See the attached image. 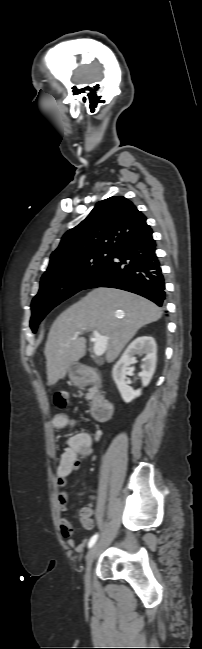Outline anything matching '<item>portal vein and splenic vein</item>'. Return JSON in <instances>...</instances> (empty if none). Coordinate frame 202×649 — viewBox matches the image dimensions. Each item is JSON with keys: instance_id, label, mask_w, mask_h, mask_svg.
Here are the masks:
<instances>
[{"instance_id": "18ae733b", "label": "portal vein and splenic vein", "mask_w": 202, "mask_h": 649, "mask_svg": "<svg viewBox=\"0 0 202 649\" xmlns=\"http://www.w3.org/2000/svg\"><path fill=\"white\" fill-rule=\"evenodd\" d=\"M92 331L94 334V338L92 339V341L94 342V353L96 356H101L106 350V338L96 330ZM79 334H81V332H76L75 336H78Z\"/></svg>"}]
</instances>
